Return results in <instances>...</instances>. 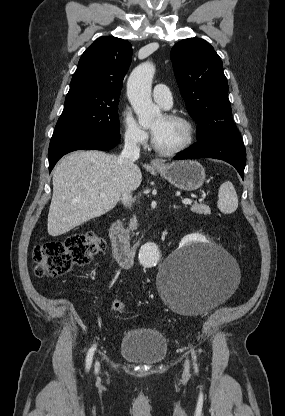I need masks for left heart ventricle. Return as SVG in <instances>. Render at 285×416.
Segmentation results:
<instances>
[{
  "label": "left heart ventricle",
  "instance_id": "left-heart-ventricle-1",
  "mask_svg": "<svg viewBox=\"0 0 285 416\" xmlns=\"http://www.w3.org/2000/svg\"><path fill=\"white\" fill-rule=\"evenodd\" d=\"M150 127L157 130L156 144L162 149H174L182 145L186 139V130L178 122L172 121L160 115L154 119Z\"/></svg>",
  "mask_w": 285,
  "mask_h": 416
}]
</instances>
